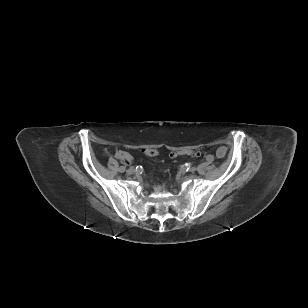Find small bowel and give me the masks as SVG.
Masks as SVG:
<instances>
[{
  "label": "small bowel",
  "mask_w": 308,
  "mask_h": 308,
  "mask_svg": "<svg viewBox=\"0 0 308 308\" xmlns=\"http://www.w3.org/2000/svg\"><path fill=\"white\" fill-rule=\"evenodd\" d=\"M227 150L224 147H221L217 150V156L218 157H223L226 154Z\"/></svg>",
  "instance_id": "small-bowel-1"
}]
</instances>
